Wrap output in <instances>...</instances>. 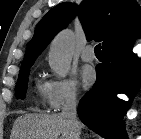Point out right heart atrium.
Listing matches in <instances>:
<instances>
[{
  "instance_id": "d8ad5b80",
  "label": "right heart atrium",
  "mask_w": 141,
  "mask_h": 139,
  "mask_svg": "<svg viewBox=\"0 0 141 139\" xmlns=\"http://www.w3.org/2000/svg\"><path fill=\"white\" fill-rule=\"evenodd\" d=\"M45 104L51 111L75 104L79 92L72 79H51L45 84Z\"/></svg>"
}]
</instances>
